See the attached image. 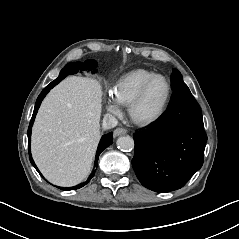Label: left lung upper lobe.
<instances>
[{
	"instance_id": "obj_1",
	"label": "left lung upper lobe",
	"mask_w": 239,
	"mask_h": 239,
	"mask_svg": "<svg viewBox=\"0 0 239 239\" xmlns=\"http://www.w3.org/2000/svg\"><path fill=\"white\" fill-rule=\"evenodd\" d=\"M171 84L173 90L187 87L183 81L181 73L177 69H173L171 74Z\"/></svg>"
}]
</instances>
